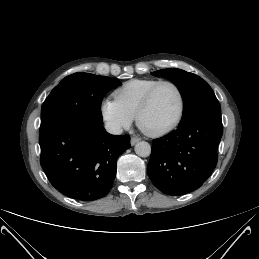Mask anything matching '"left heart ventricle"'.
Masks as SVG:
<instances>
[{"label": "left heart ventricle", "mask_w": 259, "mask_h": 259, "mask_svg": "<svg viewBox=\"0 0 259 259\" xmlns=\"http://www.w3.org/2000/svg\"><path fill=\"white\" fill-rule=\"evenodd\" d=\"M179 111V97L170 85L160 86L150 107L142 118V125L149 131L165 128L174 121Z\"/></svg>", "instance_id": "left-heart-ventricle-1"}]
</instances>
